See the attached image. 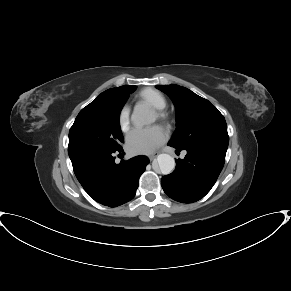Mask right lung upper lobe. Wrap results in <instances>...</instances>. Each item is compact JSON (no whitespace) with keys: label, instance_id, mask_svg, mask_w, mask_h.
Wrapping results in <instances>:
<instances>
[{"label":"right lung upper lobe","instance_id":"cb5924a9","mask_svg":"<svg viewBox=\"0 0 291 291\" xmlns=\"http://www.w3.org/2000/svg\"><path fill=\"white\" fill-rule=\"evenodd\" d=\"M132 87H134V86H121V87H119L120 89H130V88H132Z\"/></svg>","mask_w":291,"mask_h":291}]
</instances>
